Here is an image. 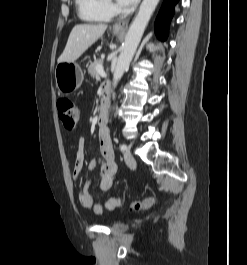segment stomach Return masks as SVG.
<instances>
[{"mask_svg": "<svg viewBox=\"0 0 247 265\" xmlns=\"http://www.w3.org/2000/svg\"><path fill=\"white\" fill-rule=\"evenodd\" d=\"M114 35H120L114 32ZM84 79V74L80 66L75 62H61L55 68V81L58 91L68 94L77 90Z\"/></svg>", "mask_w": 247, "mask_h": 265, "instance_id": "1", "label": "stomach"}]
</instances>
